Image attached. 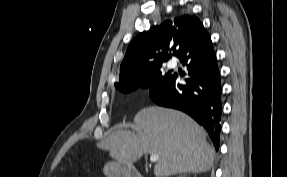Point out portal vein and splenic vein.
<instances>
[{
  "label": "portal vein and splenic vein",
  "mask_w": 287,
  "mask_h": 177,
  "mask_svg": "<svg viewBox=\"0 0 287 177\" xmlns=\"http://www.w3.org/2000/svg\"><path fill=\"white\" fill-rule=\"evenodd\" d=\"M158 160H159V157L157 154L150 155V162L154 163V162H157Z\"/></svg>",
  "instance_id": "1"
}]
</instances>
